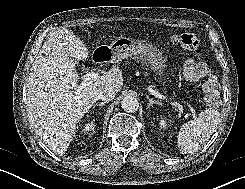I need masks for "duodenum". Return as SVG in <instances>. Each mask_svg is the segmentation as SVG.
Returning a JSON list of instances; mask_svg holds the SVG:
<instances>
[{"instance_id": "410a0bca", "label": "duodenum", "mask_w": 245, "mask_h": 189, "mask_svg": "<svg viewBox=\"0 0 245 189\" xmlns=\"http://www.w3.org/2000/svg\"><path fill=\"white\" fill-rule=\"evenodd\" d=\"M109 56H110L109 52H105L103 54H95V55H93L92 59H93L94 62H100V61H102V60H104L106 58H109Z\"/></svg>"}]
</instances>
